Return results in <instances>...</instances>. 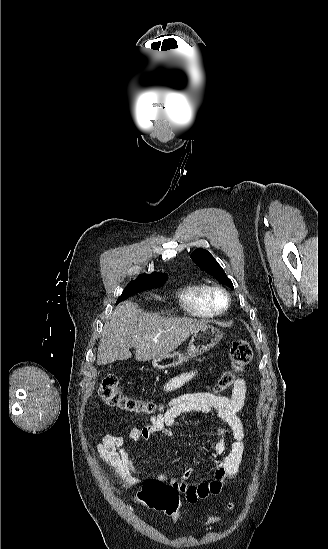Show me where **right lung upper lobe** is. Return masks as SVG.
Masks as SVG:
<instances>
[{
    "mask_svg": "<svg viewBox=\"0 0 328 549\" xmlns=\"http://www.w3.org/2000/svg\"><path fill=\"white\" fill-rule=\"evenodd\" d=\"M153 273H156V272H153ZM160 275H166V274H160Z\"/></svg>",
    "mask_w": 328,
    "mask_h": 549,
    "instance_id": "obj_1",
    "label": "right lung upper lobe"
}]
</instances>
